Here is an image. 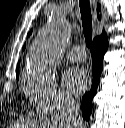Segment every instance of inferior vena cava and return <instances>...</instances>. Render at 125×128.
Instances as JSON below:
<instances>
[{"mask_svg":"<svg viewBox=\"0 0 125 128\" xmlns=\"http://www.w3.org/2000/svg\"><path fill=\"white\" fill-rule=\"evenodd\" d=\"M63 125L67 128H77L80 124V119L78 118V105L74 102H69L65 107V115L62 119Z\"/></svg>","mask_w":125,"mask_h":128,"instance_id":"1","label":"inferior vena cava"}]
</instances>
